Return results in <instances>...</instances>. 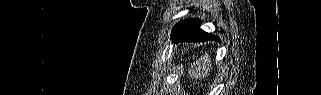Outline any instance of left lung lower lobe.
Returning <instances> with one entry per match:
<instances>
[{
    "mask_svg": "<svg viewBox=\"0 0 321 95\" xmlns=\"http://www.w3.org/2000/svg\"><path fill=\"white\" fill-rule=\"evenodd\" d=\"M201 20L187 19L174 26L171 39L173 42H204L218 40L217 36L200 29Z\"/></svg>",
    "mask_w": 321,
    "mask_h": 95,
    "instance_id": "1",
    "label": "left lung lower lobe"
}]
</instances>
